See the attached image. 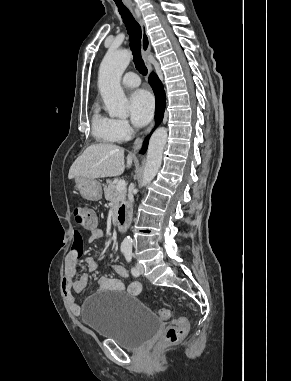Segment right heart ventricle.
<instances>
[{
    "instance_id": "1",
    "label": "right heart ventricle",
    "mask_w": 291,
    "mask_h": 381,
    "mask_svg": "<svg viewBox=\"0 0 291 381\" xmlns=\"http://www.w3.org/2000/svg\"><path fill=\"white\" fill-rule=\"evenodd\" d=\"M114 119L101 113L96 106L92 115V132L96 139L104 143H116L121 141L114 128Z\"/></svg>"
}]
</instances>
